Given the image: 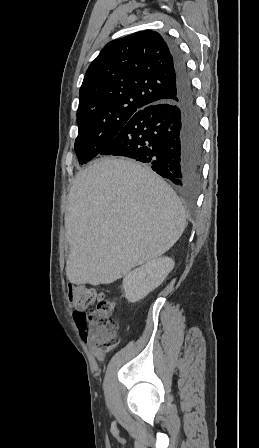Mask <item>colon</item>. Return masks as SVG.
<instances>
[{"mask_svg":"<svg viewBox=\"0 0 259 448\" xmlns=\"http://www.w3.org/2000/svg\"><path fill=\"white\" fill-rule=\"evenodd\" d=\"M78 309L74 320L84 341L102 351H110L118 344V324L114 318V304L95 287L77 285L72 290Z\"/></svg>","mask_w":259,"mask_h":448,"instance_id":"5ec220e1","label":"colon"}]
</instances>
